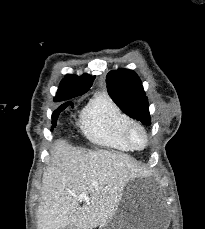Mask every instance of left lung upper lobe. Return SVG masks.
Instances as JSON below:
<instances>
[{
    "mask_svg": "<svg viewBox=\"0 0 205 229\" xmlns=\"http://www.w3.org/2000/svg\"><path fill=\"white\" fill-rule=\"evenodd\" d=\"M107 90L113 101L130 117L150 125L149 105L138 75L127 69L111 71L106 77Z\"/></svg>",
    "mask_w": 205,
    "mask_h": 229,
    "instance_id": "1",
    "label": "left lung upper lobe"
}]
</instances>
